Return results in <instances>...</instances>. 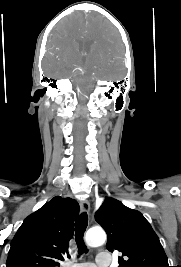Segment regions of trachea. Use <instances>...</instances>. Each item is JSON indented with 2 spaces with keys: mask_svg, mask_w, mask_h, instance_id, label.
<instances>
[{
  "mask_svg": "<svg viewBox=\"0 0 181 267\" xmlns=\"http://www.w3.org/2000/svg\"><path fill=\"white\" fill-rule=\"evenodd\" d=\"M88 225V216L87 213H82L75 222V238L78 247L79 254L87 252L83 237Z\"/></svg>",
  "mask_w": 181,
  "mask_h": 267,
  "instance_id": "trachea-1",
  "label": "trachea"
}]
</instances>
